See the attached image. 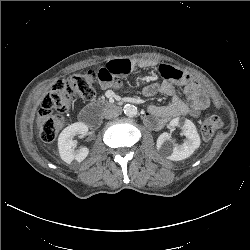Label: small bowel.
Instances as JSON below:
<instances>
[{
    "mask_svg": "<svg viewBox=\"0 0 250 250\" xmlns=\"http://www.w3.org/2000/svg\"><path fill=\"white\" fill-rule=\"evenodd\" d=\"M142 66H147L143 62ZM136 64L128 59H118L107 62L97 74L99 83L103 88H115L120 85L119 78L129 74ZM159 71L163 77L162 82H154L145 86L142 94L151 97L158 92L171 96V103L166 106H150L146 114L147 124L160 129L172 119L190 115L198 117L208 105V98L199 84L186 73L168 65H161ZM183 86L186 101L176 91V86Z\"/></svg>",
    "mask_w": 250,
    "mask_h": 250,
    "instance_id": "small-bowel-1",
    "label": "small bowel"
}]
</instances>
